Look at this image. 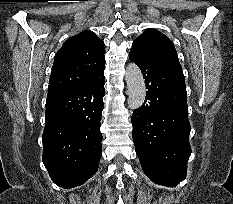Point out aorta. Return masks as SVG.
Returning a JSON list of instances; mask_svg holds the SVG:
<instances>
[{"label": "aorta", "mask_w": 233, "mask_h": 204, "mask_svg": "<svg viewBox=\"0 0 233 204\" xmlns=\"http://www.w3.org/2000/svg\"><path fill=\"white\" fill-rule=\"evenodd\" d=\"M125 78L128 88V107L138 109L142 106L146 96L145 82L140 68L135 63H129L126 67Z\"/></svg>", "instance_id": "762f6f07"}]
</instances>
